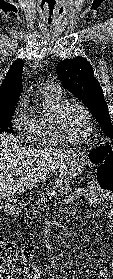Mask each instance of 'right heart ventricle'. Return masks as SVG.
I'll use <instances>...</instances> for the list:
<instances>
[{
    "label": "right heart ventricle",
    "instance_id": "e07e8e85",
    "mask_svg": "<svg viewBox=\"0 0 113 279\" xmlns=\"http://www.w3.org/2000/svg\"><path fill=\"white\" fill-rule=\"evenodd\" d=\"M61 95L43 91V107L29 117L26 127V142L35 146H56L61 144L52 132L50 116L60 102Z\"/></svg>",
    "mask_w": 113,
    "mask_h": 279
}]
</instances>
